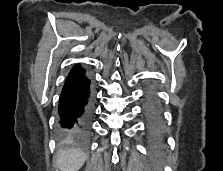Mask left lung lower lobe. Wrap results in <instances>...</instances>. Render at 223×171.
<instances>
[{"instance_id": "left-lung-lower-lobe-1", "label": "left lung lower lobe", "mask_w": 223, "mask_h": 171, "mask_svg": "<svg viewBox=\"0 0 223 171\" xmlns=\"http://www.w3.org/2000/svg\"><path fill=\"white\" fill-rule=\"evenodd\" d=\"M143 111L148 134L153 139L161 138L164 133L163 119L155 99L150 94L146 97Z\"/></svg>"}]
</instances>
